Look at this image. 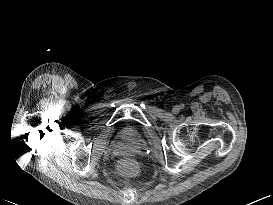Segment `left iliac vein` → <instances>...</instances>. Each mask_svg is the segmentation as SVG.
I'll return each mask as SVG.
<instances>
[{"mask_svg": "<svg viewBox=\"0 0 273 205\" xmlns=\"http://www.w3.org/2000/svg\"><path fill=\"white\" fill-rule=\"evenodd\" d=\"M179 112V108L176 106L173 108V113H178Z\"/></svg>", "mask_w": 273, "mask_h": 205, "instance_id": "4c4485c4", "label": "left iliac vein"}]
</instances>
